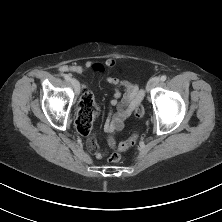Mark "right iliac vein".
Masks as SVG:
<instances>
[{
    "label": "right iliac vein",
    "instance_id": "obj_1",
    "mask_svg": "<svg viewBox=\"0 0 222 222\" xmlns=\"http://www.w3.org/2000/svg\"><path fill=\"white\" fill-rule=\"evenodd\" d=\"M71 84H72L75 92L77 94H79V92H80V84H79V82L76 79L73 78V79H71Z\"/></svg>",
    "mask_w": 222,
    "mask_h": 222
}]
</instances>
